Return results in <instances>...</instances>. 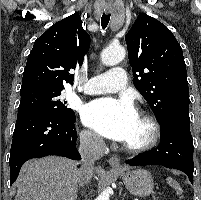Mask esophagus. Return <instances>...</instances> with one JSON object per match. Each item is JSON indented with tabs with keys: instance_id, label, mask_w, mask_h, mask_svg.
Segmentation results:
<instances>
[{
	"instance_id": "obj_1",
	"label": "esophagus",
	"mask_w": 201,
	"mask_h": 200,
	"mask_svg": "<svg viewBox=\"0 0 201 200\" xmlns=\"http://www.w3.org/2000/svg\"><path fill=\"white\" fill-rule=\"evenodd\" d=\"M107 11H109V9H107ZM108 162L112 168H116V169L121 168L120 159L117 156H113L109 158Z\"/></svg>"
}]
</instances>
